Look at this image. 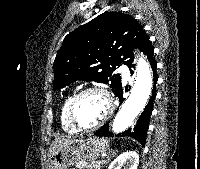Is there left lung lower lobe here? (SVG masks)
<instances>
[{
  "label": "left lung lower lobe",
  "instance_id": "0a47b994",
  "mask_svg": "<svg viewBox=\"0 0 200 169\" xmlns=\"http://www.w3.org/2000/svg\"><path fill=\"white\" fill-rule=\"evenodd\" d=\"M145 53L147 55V58L150 62L151 68L153 70L154 85H153L152 95H151L150 100H149L148 104L146 105L144 111L142 112L141 116L137 120L136 126L133 129H128L121 134V136H129V137H132V138L138 140L143 146L145 145V141H146V134H147L148 125H149V118H150V115L153 110V102H154V99L156 96L155 84L157 83V75H156L157 63L154 60V49L152 48L151 45L147 48ZM131 67L134 68L135 66L132 65L129 68H131ZM130 72H131V74H133L132 70H130ZM115 95L119 98L120 102H122L124 100L122 86L115 93ZM95 135L104 136V137L111 136L112 134L109 132V122H107L105 125H103L99 130H97L95 132Z\"/></svg>",
  "mask_w": 200,
  "mask_h": 169
}]
</instances>
